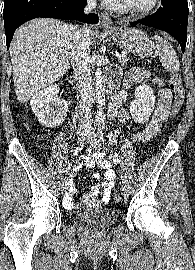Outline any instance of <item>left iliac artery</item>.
Masks as SVG:
<instances>
[{"mask_svg":"<svg viewBox=\"0 0 195 270\" xmlns=\"http://www.w3.org/2000/svg\"><path fill=\"white\" fill-rule=\"evenodd\" d=\"M98 134H99L100 140L104 141V139H103V132H102V128L101 127L98 128ZM121 180H122V183L123 184L126 183L125 179L122 176H121Z\"/></svg>","mask_w":195,"mask_h":270,"instance_id":"44dca946","label":"left iliac artery"}]
</instances>
